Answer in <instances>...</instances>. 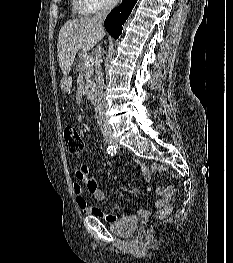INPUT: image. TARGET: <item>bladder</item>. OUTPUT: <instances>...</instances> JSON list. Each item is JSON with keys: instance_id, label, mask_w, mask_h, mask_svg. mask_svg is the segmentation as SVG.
<instances>
[{"instance_id": "bladder-1", "label": "bladder", "mask_w": 233, "mask_h": 263, "mask_svg": "<svg viewBox=\"0 0 233 263\" xmlns=\"http://www.w3.org/2000/svg\"><path fill=\"white\" fill-rule=\"evenodd\" d=\"M138 225V217L128 215L120 218L119 220L110 223L109 228L112 233L120 237L131 236Z\"/></svg>"}]
</instances>
